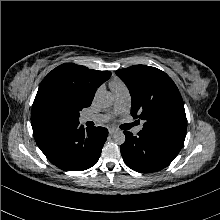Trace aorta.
I'll use <instances>...</instances> for the list:
<instances>
[{
  "label": "aorta",
  "mask_w": 220,
  "mask_h": 220,
  "mask_svg": "<svg viewBox=\"0 0 220 220\" xmlns=\"http://www.w3.org/2000/svg\"><path fill=\"white\" fill-rule=\"evenodd\" d=\"M96 100L98 105L102 108H108L113 104V96L109 92L99 93ZM125 139V134L122 131H117L113 134V141L118 145L123 144Z\"/></svg>",
  "instance_id": "762f6f07"
}]
</instances>
